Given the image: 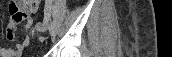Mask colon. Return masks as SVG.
<instances>
[{"label":"colon","mask_w":172,"mask_h":57,"mask_svg":"<svg viewBox=\"0 0 172 57\" xmlns=\"http://www.w3.org/2000/svg\"><path fill=\"white\" fill-rule=\"evenodd\" d=\"M36 32H43L45 30V25L43 23H38L35 27Z\"/></svg>","instance_id":"obj_1"}]
</instances>
